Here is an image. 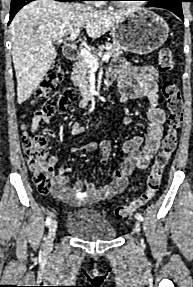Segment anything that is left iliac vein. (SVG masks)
<instances>
[{
    "label": "left iliac vein",
    "mask_w": 193,
    "mask_h": 287,
    "mask_svg": "<svg viewBox=\"0 0 193 287\" xmlns=\"http://www.w3.org/2000/svg\"><path fill=\"white\" fill-rule=\"evenodd\" d=\"M135 230H136L137 234L140 235L141 225H140V222L138 220L135 223Z\"/></svg>",
    "instance_id": "1"
}]
</instances>
